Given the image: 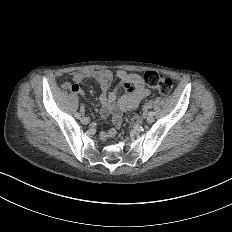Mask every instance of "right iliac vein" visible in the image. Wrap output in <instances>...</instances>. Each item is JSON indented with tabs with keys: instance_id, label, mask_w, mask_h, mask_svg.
<instances>
[{
	"instance_id": "63e3f726",
	"label": "right iliac vein",
	"mask_w": 232,
	"mask_h": 232,
	"mask_svg": "<svg viewBox=\"0 0 232 232\" xmlns=\"http://www.w3.org/2000/svg\"><path fill=\"white\" fill-rule=\"evenodd\" d=\"M81 124H82V125H87V124H88V119H87L86 117H83V118L81 119Z\"/></svg>"
}]
</instances>
